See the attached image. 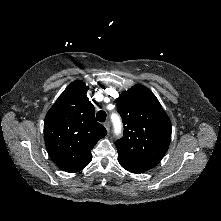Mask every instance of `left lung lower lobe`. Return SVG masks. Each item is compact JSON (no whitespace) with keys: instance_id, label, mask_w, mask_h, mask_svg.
Instances as JSON below:
<instances>
[{"instance_id":"0a47b994","label":"left lung lower lobe","mask_w":221,"mask_h":221,"mask_svg":"<svg viewBox=\"0 0 221 221\" xmlns=\"http://www.w3.org/2000/svg\"><path fill=\"white\" fill-rule=\"evenodd\" d=\"M118 161L120 163V165L126 169L127 171L131 172V173H136V174H139V173H143L146 171V169L122 158V157H119L118 156Z\"/></svg>"}]
</instances>
